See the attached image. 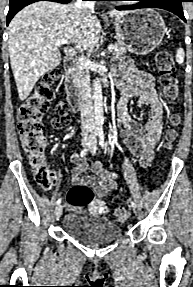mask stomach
I'll list each match as a JSON object with an SVG mask.
<instances>
[{"label": "stomach", "instance_id": "1", "mask_svg": "<svg viewBox=\"0 0 193 287\" xmlns=\"http://www.w3.org/2000/svg\"><path fill=\"white\" fill-rule=\"evenodd\" d=\"M116 37L137 55L152 52L162 41L166 26L162 16L153 9H140L113 21Z\"/></svg>", "mask_w": 193, "mask_h": 287}]
</instances>
